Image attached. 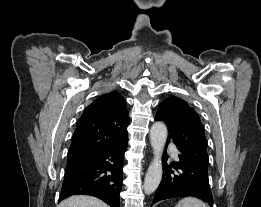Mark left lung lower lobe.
<instances>
[{
    "instance_id": "1",
    "label": "left lung lower lobe",
    "mask_w": 261,
    "mask_h": 207,
    "mask_svg": "<svg viewBox=\"0 0 261 207\" xmlns=\"http://www.w3.org/2000/svg\"><path fill=\"white\" fill-rule=\"evenodd\" d=\"M163 160L162 181L157 188L152 205L160 200L174 197H197L213 207V197L209 187L208 169L190 159L178 155V162L171 165ZM174 168L175 170H172Z\"/></svg>"
}]
</instances>
